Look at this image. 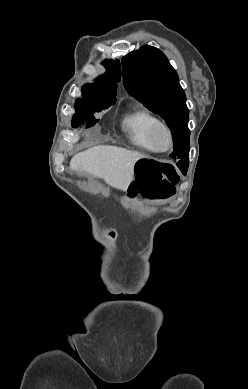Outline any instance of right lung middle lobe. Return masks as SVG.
Instances as JSON below:
<instances>
[{"mask_svg":"<svg viewBox=\"0 0 248 389\" xmlns=\"http://www.w3.org/2000/svg\"><path fill=\"white\" fill-rule=\"evenodd\" d=\"M84 100L78 99L76 101V115L72 121L73 126H78L83 120L89 122L88 127L93 126L98 120H96L93 114L96 111L108 109L116 102V97L95 95L87 92L83 89Z\"/></svg>","mask_w":248,"mask_h":389,"instance_id":"dd1d6c3e","label":"right lung middle lobe"}]
</instances>
